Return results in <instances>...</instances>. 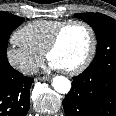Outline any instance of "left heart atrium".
I'll list each match as a JSON object with an SVG mask.
<instances>
[{"label": "left heart atrium", "instance_id": "obj_1", "mask_svg": "<svg viewBox=\"0 0 116 116\" xmlns=\"http://www.w3.org/2000/svg\"><path fill=\"white\" fill-rule=\"evenodd\" d=\"M48 68L50 70H62L61 66L52 60L48 61Z\"/></svg>", "mask_w": 116, "mask_h": 116}]
</instances>
